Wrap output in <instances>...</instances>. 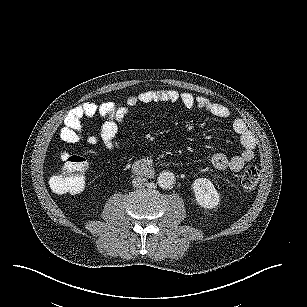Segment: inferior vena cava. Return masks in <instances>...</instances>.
Listing matches in <instances>:
<instances>
[{
    "label": "inferior vena cava",
    "mask_w": 307,
    "mask_h": 307,
    "mask_svg": "<svg viewBox=\"0 0 307 307\" xmlns=\"http://www.w3.org/2000/svg\"><path fill=\"white\" fill-rule=\"evenodd\" d=\"M148 181L143 176H135L132 179V185L134 188H143L147 185Z\"/></svg>",
    "instance_id": "602c4592"
}]
</instances>
